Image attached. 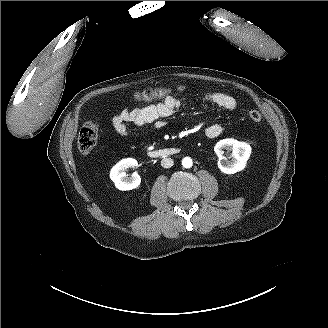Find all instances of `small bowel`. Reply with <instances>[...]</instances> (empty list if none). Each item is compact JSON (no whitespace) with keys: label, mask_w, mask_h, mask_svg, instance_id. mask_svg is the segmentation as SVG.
<instances>
[{"label":"small bowel","mask_w":328,"mask_h":328,"mask_svg":"<svg viewBox=\"0 0 328 328\" xmlns=\"http://www.w3.org/2000/svg\"><path fill=\"white\" fill-rule=\"evenodd\" d=\"M202 101L228 111H235L239 106L235 97L221 92L205 94L202 97ZM181 105L182 102L178 98L170 95L158 104L135 109H123L112 116V126L115 132L122 137H129L134 134L130 125L138 128L150 127L152 129H160L165 125V120L172 116ZM222 131L223 128L220 124H212L207 127L205 133L208 138L214 139L219 137Z\"/></svg>","instance_id":"small-bowel-1"}]
</instances>
